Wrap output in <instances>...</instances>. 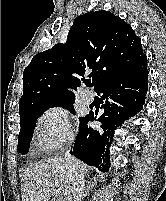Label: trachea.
<instances>
[{
    "label": "trachea",
    "instance_id": "3493384b",
    "mask_svg": "<svg viewBox=\"0 0 166 201\" xmlns=\"http://www.w3.org/2000/svg\"><path fill=\"white\" fill-rule=\"evenodd\" d=\"M85 84H86V86H90L91 85V81H86Z\"/></svg>",
    "mask_w": 166,
    "mask_h": 201
}]
</instances>
